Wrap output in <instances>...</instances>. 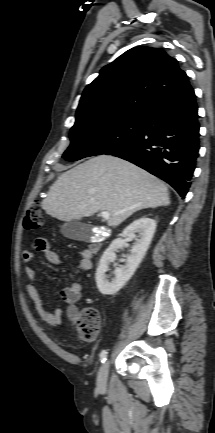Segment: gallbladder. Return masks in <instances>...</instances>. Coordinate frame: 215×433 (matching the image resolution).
<instances>
[{
	"label": "gallbladder",
	"mask_w": 215,
	"mask_h": 433,
	"mask_svg": "<svg viewBox=\"0 0 215 433\" xmlns=\"http://www.w3.org/2000/svg\"><path fill=\"white\" fill-rule=\"evenodd\" d=\"M61 233L72 240L87 241L90 238V225L78 220L66 222L61 226Z\"/></svg>",
	"instance_id": "1"
}]
</instances>
